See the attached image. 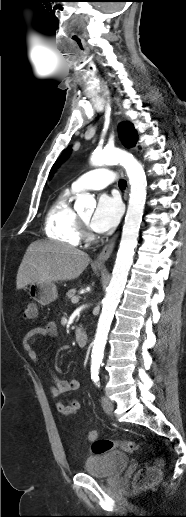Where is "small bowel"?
Masks as SVG:
<instances>
[{
    "instance_id": "obj_1",
    "label": "small bowel",
    "mask_w": 186,
    "mask_h": 517,
    "mask_svg": "<svg viewBox=\"0 0 186 517\" xmlns=\"http://www.w3.org/2000/svg\"><path fill=\"white\" fill-rule=\"evenodd\" d=\"M57 335V326L54 321H48L44 325L37 326L30 330L24 340V348L28 353L29 357L36 361L37 355L34 350V344L46 337H54ZM51 375V394L53 398L59 399L63 394L78 390L81 383L78 379L73 378L70 380H64L59 378L53 370L50 372ZM81 402L77 399H68L67 401L58 400L56 403V409L62 416H71L76 414L81 409ZM93 433L94 437L97 438V431H90L86 436V440L90 442L89 434Z\"/></svg>"
}]
</instances>
